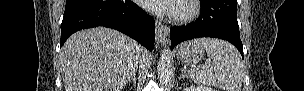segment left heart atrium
Instances as JSON below:
<instances>
[{"instance_id":"obj_1","label":"left heart atrium","mask_w":304,"mask_h":91,"mask_svg":"<svg viewBox=\"0 0 304 91\" xmlns=\"http://www.w3.org/2000/svg\"><path fill=\"white\" fill-rule=\"evenodd\" d=\"M177 0H143L142 7L157 13L173 15L176 13Z\"/></svg>"}]
</instances>
